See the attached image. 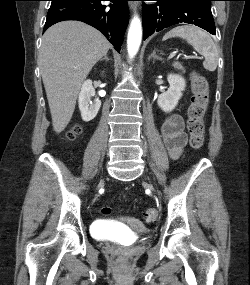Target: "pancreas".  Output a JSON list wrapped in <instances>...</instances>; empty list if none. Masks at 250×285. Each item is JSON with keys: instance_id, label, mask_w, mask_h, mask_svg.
<instances>
[{"instance_id": "obj_1", "label": "pancreas", "mask_w": 250, "mask_h": 285, "mask_svg": "<svg viewBox=\"0 0 250 285\" xmlns=\"http://www.w3.org/2000/svg\"><path fill=\"white\" fill-rule=\"evenodd\" d=\"M173 67L182 71L183 73L185 72V68L183 67L182 63H180V62H174Z\"/></svg>"}]
</instances>
